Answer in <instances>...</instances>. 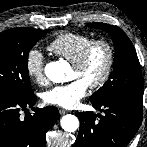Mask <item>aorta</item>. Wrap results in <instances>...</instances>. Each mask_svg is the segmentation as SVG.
<instances>
[{
  "mask_svg": "<svg viewBox=\"0 0 147 147\" xmlns=\"http://www.w3.org/2000/svg\"><path fill=\"white\" fill-rule=\"evenodd\" d=\"M70 70L69 64L64 60L53 61L45 66V75L54 83H63L69 80L67 72ZM61 127L67 132H75L79 127V120L75 115L67 114L62 117Z\"/></svg>",
  "mask_w": 147,
  "mask_h": 147,
  "instance_id": "1",
  "label": "aorta"
}]
</instances>
